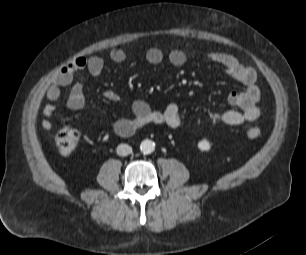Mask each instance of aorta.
Segmentation results:
<instances>
[{"label":"aorta","mask_w":306,"mask_h":255,"mask_svg":"<svg viewBox=\"0 0 306 255\" xmlns=\"http://www.w3.org/2000/svg\"><path fill=\"white\" fill-rule=\"evenodd\" d=\"M140 150L143 154H151L155 150V143L152 140H143L140 144Z\"/></svg>","instance_id":"aorta-1"}]
</instances>
